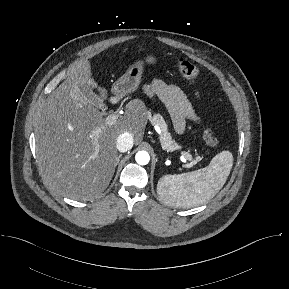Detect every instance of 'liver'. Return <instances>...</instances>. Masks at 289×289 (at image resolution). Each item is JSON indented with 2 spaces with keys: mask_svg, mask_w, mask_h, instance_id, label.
<instances>
[{
  "mask_svg": "<svg viewBox=\"0 0 289 289\" xmlns=\"http://www.w3.org/2000/svg\"><path fill=\"white\" fill-rule=\"evenodd\" d=\"M95 97L103 102L107 91L92 78L90 62L82 59L48 96L36 122L40 173L55 191L74 200L92 199L108 187L118 164V136L129 132L140 143L147 124V110L136 99L126 105L123 117L108 125Z\"/></svg>",
  "mask_w": 289,
  "mask_h": 289,
  "instance_id": "liver-1",
  "label": "liver"
}]
</instances>
